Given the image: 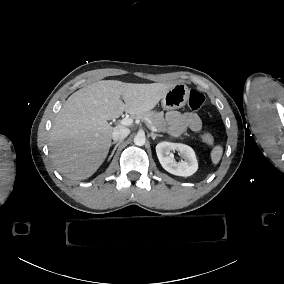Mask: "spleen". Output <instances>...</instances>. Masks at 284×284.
I'll return each mask as SVG.
<instances>
[{
  "instance_id": "1",
  "label": "spleen",
  "mask_w": 284,
  "mask_h": 284,
  "mask_svg": "<svg viewBox=\"0 0 284 284\" xmlns=\"http://www.w3.org/2000/svg\"><path fill=\"white\" fill-rule=\"evenodd\" d=\"M222 153H223V148L220 145L215 146L213 148V150L211 151V159H212L213 164L219 163L222 157Z\"/></svg>"
}]
</instances>
